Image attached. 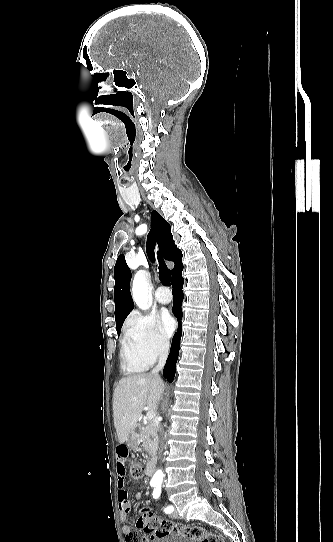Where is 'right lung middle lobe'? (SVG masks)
Wrapping results in <instances>:
<instances>
[{
	"mask_svg": "<svg viewBox=\"0 0 333 542\" xmlns=\"http://www.w3.org/2000/svg\"><path fill=\"white\" fill-rule=\"evenodd\" d=\"M121 327H122V326H121ZM121 327H119V328H116V329H117V333H118V335L120 334V330H121Z\"/></svg>",
	"mask_w": 333,
	"mask_h": 542,
	"instance_id": "dd1d6c3e",
	"label": "right lung middle lobe"
}]
</instances>
